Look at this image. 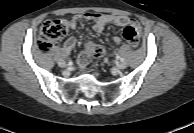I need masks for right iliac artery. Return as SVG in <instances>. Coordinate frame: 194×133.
I'll list each match as a JSON object with an SVG mask.
<instances>
[{"instance_id": "82829eb1", "label": "right iliac artery", "mask_w": 194, "mask_h": 133, "mask_svg": "<svg viewBox=\"0 0 194 133\" xmlns=\"http://www.w3.org/2000/svg\"><path fill=\"white\" fill-rule=\"evenodd\" d=\"M72 63L71 62H69V64L68 65H71Z\"/></svg>"}]
</instances>
